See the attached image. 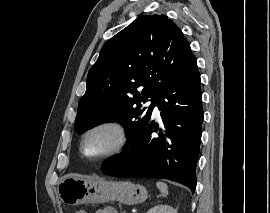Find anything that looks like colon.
I'll return each instance as SVG.
<instances>
[{
  "mask_svg": "<svg viewBox=\"0 0 270 213\" xmlns=\"http://www.w3.org/2000/svg\"><path fill=\"white\" fill-rule=\"evenodd\" d=\"M75 213H86V211L84 209H78L75 211Z\"/></svg>",
  "mask_w": 270,
  "mask_h": 213,
  "instance_id": "colon-1",
  "label": "colon"
}]
</instances>
